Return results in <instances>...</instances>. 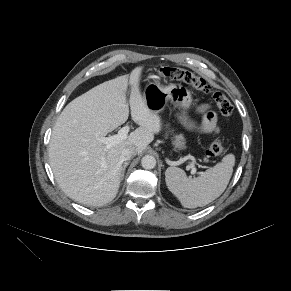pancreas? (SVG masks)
<instances>
[{"mask_svg": "<svg viewBox=\"0 0 291 291\" xmlns=\"http://www.w3.org/2000/svg\"><path fill=\"white\" fill-rule=\"evenodd\" d=\"M175 145V148H184V140L182 135L176 136V140L173 143Z\"/></svg>", "mask_w": 291, "mask_h": 291, "instance_id": "obj_1", "label": "pancreas"}]
</instances>
